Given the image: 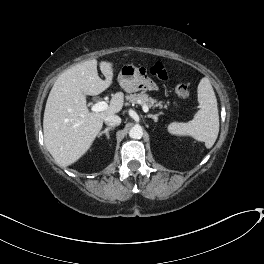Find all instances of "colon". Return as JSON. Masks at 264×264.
<instances>
[{
	"instance_id": "5ec220e1",
	"label": "colon",
	"mask_w": 264,
	"mask_h": 264,
	"mask_svg": "<svg viewBox=\"0 0 264 264\" xmlns=\"http://www.w3.org/2000/svg\"><path fill=\"white\" fill-rule=\"evenodd\" d=\"M151 74L160 80H166L168 78V70L166 66L161 62L154 63L151 68ZM175 93L179 97L186 99L190 96V88L185 83H178L175 86Z\"/></svg>"
}]
</instances>
